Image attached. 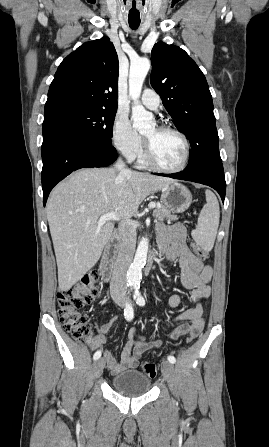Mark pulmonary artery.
I'll use <instances>...</instances> for the list:
<instances>
[{"instance_id":"obj_1","label":"pulmonary artery","mask_w":269,"mask_h":447,"mask_svg":"<svg viewBox=\"0 0 269 447\" xmlns=\"http://www.w3.org/2000/svg\"><path fill=\"white\" fill-rule=\"evenodd\" d=\"M160 96L151 89H145L141 96V103L150 110L156 111L160 105Z\"/></svg>"}]
</instances>
